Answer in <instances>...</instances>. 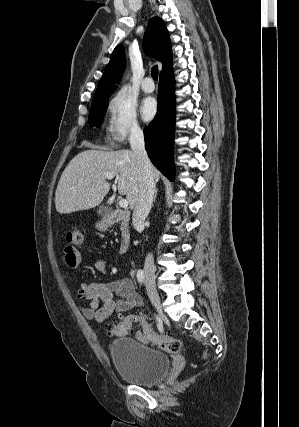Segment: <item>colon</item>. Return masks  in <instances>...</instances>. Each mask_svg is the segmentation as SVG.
I'll return each mask as SVG.
<instances>
[{
    "label": "colon",
    "instance_id": "1",
    "mask_svg": "<svg viewBox=\"0 0 299 427\" xmlns=\"http://www.w3.org/2000/svg\"><path fill=\"white\" fill-rule=\"evenodd\" d=\"M66 249L70 252L81 247L84 242V232L81 227H75L66 233ZM141 322L143 324V335L157 345L162 350L176 354L181 350V342L170 336H159L154 333L148 321L143 320L139 316H126L121 318L117 323L110 327L113 334L126 335L135 332V324Z\"/></svg>",
    "mask_w": 299,
    "mask_h": 427
}]
</instances>
